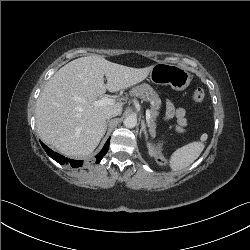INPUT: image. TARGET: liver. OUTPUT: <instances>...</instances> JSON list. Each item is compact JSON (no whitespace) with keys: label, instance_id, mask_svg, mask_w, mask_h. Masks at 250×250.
I'll use <instances>...</instances> for the list:
<instances>
[{"label":"liver","instance_id":"obj_1","mask_svg":"<svg viewBox=\"0 0 250 250\" xmlns=\"http://www.w3.org/2000/svg\"><path fill=\"white\" fill-rule=\"evenodd\" d=\"M152 68L127 67L100 56L81 57L64 65L36 102L40 138L66 156H88L105 134L106 113L114 108L122 110L124 105L96 106V99L106 90L113 93L142 82Z\"/></svg>","mask_w":250,"mask_h":250}]
</instances>
